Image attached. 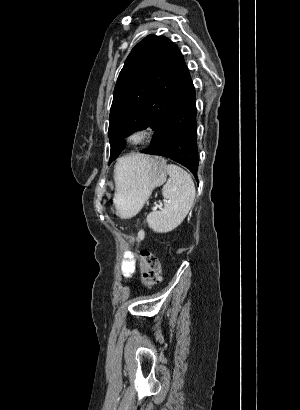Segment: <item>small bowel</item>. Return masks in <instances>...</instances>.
Returning a JSON list of instances; mask_svg holds the SVG:
<instances>
[{
  "label": "small bowel",
  "instance_id": "1",
  "mask_svg": "<svg viewBox=\"0 0 300 410\" xmlns=\"http://www.w3.org/2000/svg\"><path fill=\"white\" fill-rule=\"evenodd\" d=\"M144 233L141 231L138 233V239H142ZM136 269V259L133 253L126 251L123 254V260L121 263V273L125 278H131Z\"/></svg>",
  "mask_w": 300,
  "mask_h": 410
}]
</instances>
